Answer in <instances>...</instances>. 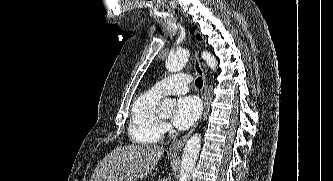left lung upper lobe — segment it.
Segmentation results:
<instances>
[{
	"label": "left lung upper lobe",
	"instance_id": "obj_1",
	"mask_svg": "<svg viewBox=\"0 0 333 181\" xmlns=\"http://www.w3.org/2000/svg\"><path fill=\"white\" fill-rule=\"evenodd\" d=\"M197 38L200 40L201 39L200 35H197Z\"/></svg>",
	"mask_w": 333,
	"mask_h": 181
}]
</instances>
